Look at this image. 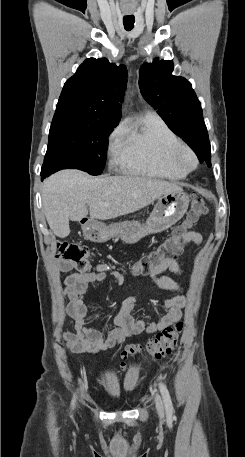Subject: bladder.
I'll return each instance as SVG.
<instances>
[{"mask_svg": "<svg viewBox=\"0 0 245 457\" xmlns=\"http://www.w3.org/2000/svg\"><path fill=\"white\" fill-rule=\"evenodd\" d=\"M102 386H103L104 388H106V387H107V385H106V382H105V381H104V382H102Z\"/></svg>", "mask_w": 245, "mask_h": 457, "instance_id": "1", "label": "bladder"}]
</instances>
